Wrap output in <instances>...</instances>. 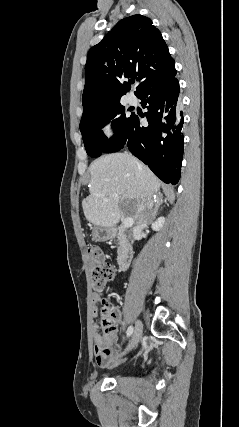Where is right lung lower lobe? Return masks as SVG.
Segmentation results:
<instances>
[{
  "mask_svg": "<svg viewBox=\"0 0 239 427\" xmlns=\"http://www.w3.org/2000/svg\"><path fill=\"white\" fill-rule=\"evenodd\" d=\"M175 75L148 86L137 96L148 109L145 116L149 125H140V118L133 115L123 145L163 182L173 185L180 178L184 148V117Z\"/></svg>",
  "mask_w": 239,
  "mask_h": 427,
  "instance_id": "98d812e1",
  "label": "right lung lower lobe"
}]
</instances>
